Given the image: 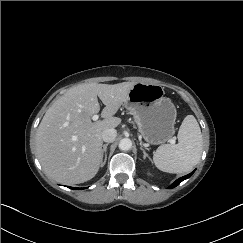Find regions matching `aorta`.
Listing matches in <instances>:
<instances>
[{"instance_id":"obj_1","label":"aorta","mask_w":243,"mask_h":243,"mask_svg":"<svg viewBox=\"0 0 243 243\" xmlns=\"http://www.w3.org/2000/svg\"><path fill=\"white\" fill-rule=\"evenodd\" d=\"M132 147V141L129 138H123L119 142V149L122 151H128Z\"/></svg>"}]
</instances>
